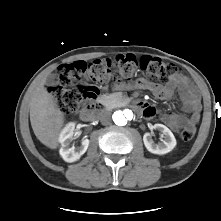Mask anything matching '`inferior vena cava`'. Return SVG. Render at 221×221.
Wrapping results in <instances>:
<instances>
[{
	"label": "inferior vena cava",
	"instance_id": "1",
	"mask_svg": "<svg viewBox=\"0 0 221 221\" xmlns=\"http://www.w3.org/2000/svg\"><path fill=\"white\" fill-rule=\"evenodd\" d=\"M98 119L100 120V122L103 124V125H107L111 122V113L109 111H101L99 114H98Z\"/></svg>",
	"mask_w": 221,
	"mask_h": 221
}]
</instances>
